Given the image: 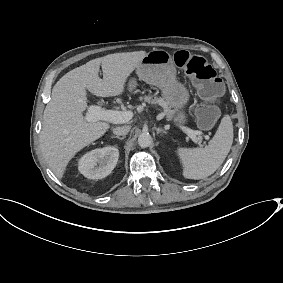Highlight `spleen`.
I'll return each mask as SVG.
<instances>
[{"mask_svg":"<svg viewBox=\"0 0 283 283\" xmlns=\"http://www.w3.org/2000/svg\"><path fill=\"white\" fill-rule=\"evenodd\" d=\"M233 142V124L224 114L213 138L205 148H176L182 174L189 179H202L213 174L223 163Z\"/></svg>","mask_w":283,"mask_h":283,"instance_id":"obj_1","label":"spleen"}]
</instances>
